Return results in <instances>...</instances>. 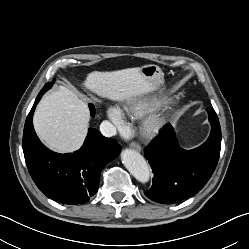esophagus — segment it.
Here are the masks:
<instances>
[{
  "label": "esophagus",
  "mask_w": 249,
  "mask_h": 249,
  "mask_svg": "<svg viewBox=\"0 0 249 249\" xmlns=\"http://www.w3.org/2000/svg\"><path fill=\"white\" fill-rule=\"evenodd\" d=\"M130 148L140 152L141 151V146L137 142H131L130 143Z\"/></svg>",
  "instance_id": "1"
}]
</instances>
